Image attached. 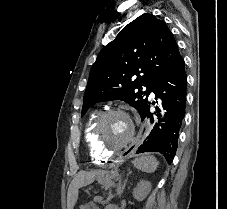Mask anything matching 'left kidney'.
Returning a JSON list of instances; mask_svg holds the SVG:
<instances>
[{
  "label": "left kidney",
  "mask_w": 227,
  "mask_h": 209,
  "mask_svg": "<svg viewBox=\"0 0 227 209\" xmlns=\"http://www.w3.org/2000/svg\"><path fill=\"white\" fill-rule=\"evenodd\" d=\"M151 187L152 185L149 181H140L136 189H133L134 199H137V201H143V199H146L148 193L151 191Z\"/></svg>",
  "instance_id": "left-kidney-1"
}]
</instances>
